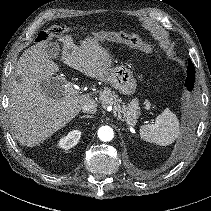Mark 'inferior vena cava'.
<instances>
[{
    "label": "inferior vena cava",
    "mask_w": 211,
    "mask_h": 211,
    "mask_svg": "<svg viewBox=\"0 0 211 211\" xmlns=\"http://www.w3.org/2000/svg\"><path fill=\"white\" fill-rule=\"evenodd\" d=\"M82 111L94 114L97 112V104L95 102L86 103L82 106Z\"/></svg>",
    "instance_id": "602c4592"
}]
</instances>
